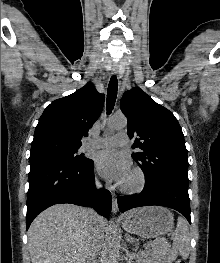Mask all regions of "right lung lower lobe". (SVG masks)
Returning a JSON list of instances; mask_svg holds the SVG:
<instances>
[{"instance_id":"obj_1","label":"right lung lower lobe","mask_w":220,"mask_h":263,"mask_svg":"<svg viewBox=\"0 0 220 263\" xmlns=\"http://www.w3.org/2000/svg\"><path fill=\"white\" fill-rule=\"evenodd\" d=\"M26 229L46 208L60 203L93 207L100 215L111 213V194L96 192L93 160L77 165L42 155L30 156Z\"/></svg>"}]
</instances>
